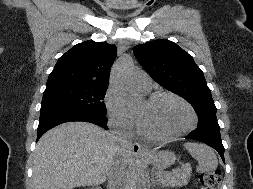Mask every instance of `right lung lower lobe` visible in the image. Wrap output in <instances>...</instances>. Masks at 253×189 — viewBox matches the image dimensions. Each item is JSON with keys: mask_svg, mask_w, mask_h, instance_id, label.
I'll return each instance as SVG.
<instances>
[{"mask_svg": "<svg viewBox=\"0 0 253 189\" xmlns=\"http://www.w3.org/2000/svg\"><path fill=\"white\" fill-rule=\"evenodd\" d=\"M70 121H85L101 125L107 129V120L105 116L91 114L87 112L50 109L40 112V120L38 126L37 140L51 128L65 122Z\"/></svg>", "mask_w": 253, "mask_h": 189, "instance_id": "98d812e1", "label": "right lung lower lobe"}]
</instances>
